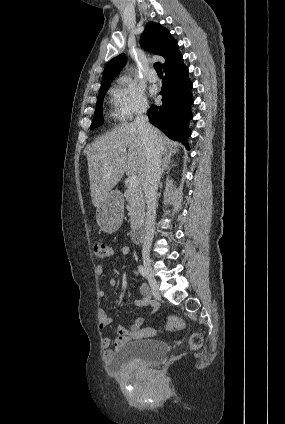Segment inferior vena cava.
Returning a JSON list of instances; mask_svg holds the SVG:
<instances>
[{"mask_svg":"<svg viewBox=\"0 0 285 424\" xmlns=\"http://www.w3.org/2000/svg\"><path fill=\"white\" fill-rule=\"evenodd\" d=\"M147 106H142L134 120L145 145L147 167L143 180V191L147 205L145 236L142 248L144 259L148 260L155 232L156 193L161 177V154L152 126L146 116Z\"/></svg>","mask_w":285,"mask_h":424,"instance_id":"1","label":"inferior vena cava"}]
</instances>
